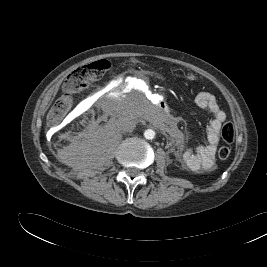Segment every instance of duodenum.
<instances>
[{"label": "duodenum", "instance_id": "1", "mask_svg": "<svg viewBox=\"0 0 267 267\" xmlns=\"http://www.w3.org/2000/svg\"><path fill=\"white\" fill-rule=\"evenodd\" d=\"M115 90L118 93H122L124 96L127 97H132V96H137L138 98L141 99H146L147 98V93L144 91H141L140 89H128V84L126 82H118L115 85ZM157 109L163 110L167 114V106L163 102H160L156 105Z\"/></svg>", "mask_w": 267, "mask_h": 267}]
</instances>
